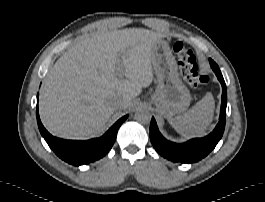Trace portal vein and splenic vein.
<instances>
[{"label": "portal vein and splenic vein", "instance_id": "obj_1", "mask_svg": "<svg viewBox=\"0 0 265 202\" xmlns=\"http://www.w3.org/2000/svg\"><path fill=\"white\" fill-rule=\"evenodd\" d=\"M117 74L118 76H121L122 74V67L120 65L117 67Z\"/></svg>", "mask_w": 265, "mask_h": 202}]
</instances>
